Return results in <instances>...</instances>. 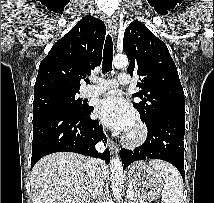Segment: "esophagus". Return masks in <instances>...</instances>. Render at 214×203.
<instances>
[{
    "instance_id": "34e87169",
    "label": "esophagus",
    "mask_w": 214,
    "mask_h": 203,
    "mask_svg": "<svg viewBox=\"0 0 214 203\" xmlns=\"http://www.w3.org/2000/svg\"><path fill=\"white\" fill-rule=\"evenodd\" d=\"M107 24H108V27H109V30L111 32L112 37L115 39L116 33H117V21H116V19L114 17L108 18ZM109 149H110L111 153H117L119 150L116 143L112 140H109Z\"/></svg>"
}]
</instances>
